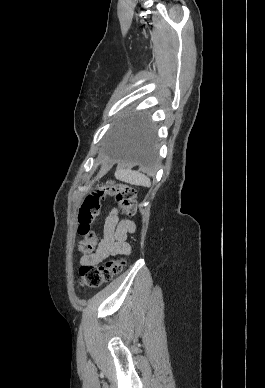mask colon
<instances>
[{
    "label": "colon",
    "mask_w": 265,
    "mask_h": 388,
    "mask_svg": "<svg viewBox=\"0 0 265 388\" xmlns=\"http://www.w3.org/2000/svg\"><path fill=\"white\" fill-rule=\"evenodd\" d=\"M106 196H114L121 212L126 216L135 213L136 191L132 186L121 183H106L97 187L88 194L79 209L78 213V234L82 237L78 244V251L82 255L93 252L97 242V233L92 225L100 213L102 200ZM126 259L121 257L115 260H108L104 264L85 265L80 267V284L90 288H98L104 283L112 280L125 266Z\"/></svg>",
    "instance_id": "1"
}]
</instances>
